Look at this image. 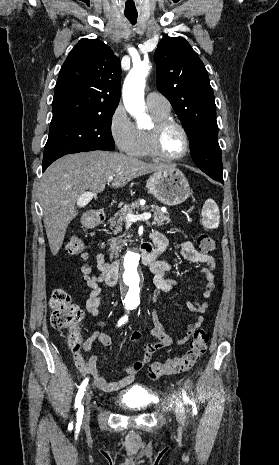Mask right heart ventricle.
Instances as JSON below:
<instances>
[{"label":"right heart ventricle","instance_id":"right-heart-ventricle-1","mask_svg":"<svg viewBox=\"0 0 279 465\" xmlns=\"http://www.w3.org/2000/svg\"><path fill=\"white\" fill-rule=\"evenodd\" d=\"M148 110L154 121L168 118L170 113V111L164 112L152 108H148ZM128 154L137 158H147L152 156L148 144V130L136 127L134 143Z\"/></svg>","mask_w":279,"mask_h":465}]
</instances>
